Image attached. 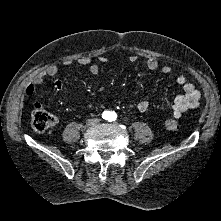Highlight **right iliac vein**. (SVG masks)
Wrapping results in <instances>:
<instances>
[{"mask_svg":"<svg viewBox=\"0 0 221 221\" xmlns=\"http://www.w3.org/2000/svg\"><path fill=\"white\" fill-rule=\"evenodd\" d=\"M92 123H93L92 120H88V121H87V124H88V125H91Z\"/></svg>","mask_w":221,"mask_h":221,"instance_id":"obj_1","label":"right iliac vein"}]
</instances>
